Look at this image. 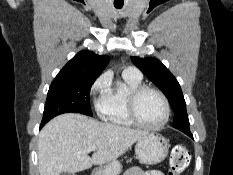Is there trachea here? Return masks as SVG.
<instances>
[{"label":"trachea","mask_w":233,"mask_h":175,"mask_svg":"<svg viewBox=\"0 0 233 175\" xmlns=\"http://www.w3.org/2000/svg\"><path fill=\"white\" fill-rule=\"evenodd\" d=\"M115 7H116L117 9H121V8L123 7V5H115Z\"/></svg>","instance_id":"obj_1"}]
</instances>
